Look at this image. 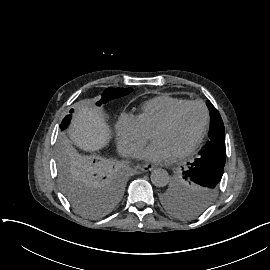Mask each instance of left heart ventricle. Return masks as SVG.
<instances>
[{
  "instance_id": "obj_1",
  "label": "left heart ventricle",
  "mask_w": 270,
  "mask_h": 270,
  "mask_svg": "<svg viewBox=\"0 0 270 270\" xmlns=\"http://www.w3.org/2000/svg\"><path fill=\"white\" fill-rule=\"evenodd\" d=\"M203 118L202 108L192 106L180 116L175 125L152 131L150 138L166 142L178 155L197 139L202 128Z\"/></svg>"
}]
</instances>
